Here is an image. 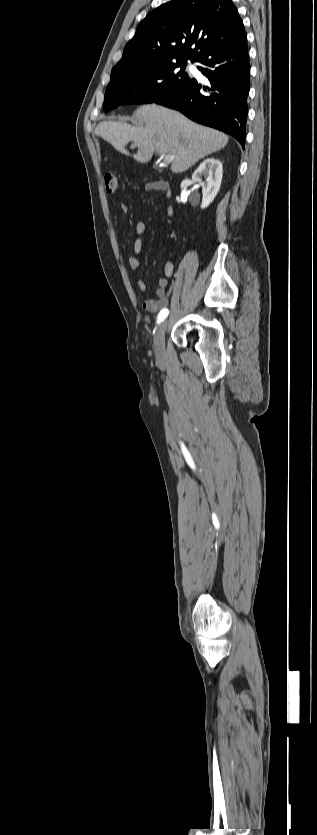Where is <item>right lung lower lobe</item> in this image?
I'll list each match as a JSON object with an SVG mask.
<instances>
[{
    "label": "right lung lower lobe",
    "instance_id": "1",
    "mask_svg": "<svg viewBox=\"0 0 317 835\" xmlns=\"http://www.w3.org/2000/svg\"><path fill=\"white\" fill-rule=\"evenodd\" d=\"M199 68L210 81L195 79L155 101L182 112L191 120L234 136L244 147L250 65L246 39L205 53ZM203 90L204 93L200 91Z\"/></svg>",
    "mask_w": 317,
    "mask_h": 835
}]
</instances>
